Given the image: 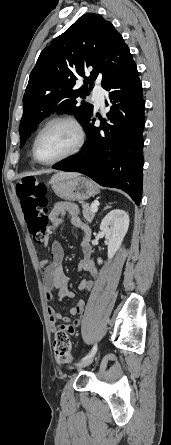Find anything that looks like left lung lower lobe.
<instances>
[{"mask_svg": "<svg viewBox=\"0 0 171 445\" xmlns=\"http://www.w3.org/2000/svg\"><path fill=\"white\" fill-rule=\"evenodd\" d=\"M102 87L108 91L107 120L95 127L90 117L84 125L88 142L54 169L79 172L102 186L122 189L139 205L145 102L136 64L114 74Z\"/></svg>", "mask_w": 171, "mask_h": 445, "instance_id": "1", "label": "left lung lower lobe"}]
</instances>
